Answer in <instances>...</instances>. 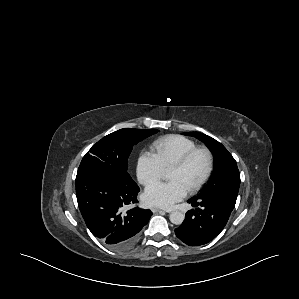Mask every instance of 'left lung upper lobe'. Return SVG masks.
I'll list each match as a JSON object with an SVG mask.
<instances>
[{"label": "left lung upper lobe", "instance_id": "obj_1", "mask_svg": "<svg viewBox=\"0 0 299 299\" xmlns=\"http://www.w3.org/2000/svg\"><path fill=\"white\" fill-rule=\"evenodd\" d=\"M185 135L195 136L204 142L214 155V171L204 190L197 198L221 195L233 203H236L240 174L235 159L228 150L217 140L198 132H188Z\"/></svg>", "mask_w": 299, "mask_h": 299}]
</instances>
